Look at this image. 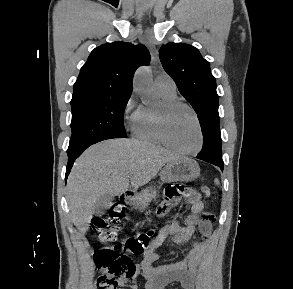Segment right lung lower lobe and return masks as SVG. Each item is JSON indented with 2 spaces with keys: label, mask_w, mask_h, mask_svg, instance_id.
Wrapping results in <instances>:
<instances>
[{
  "label": "right lung lower lobe",
  "mask_w": 293,
  "mask_h": 289,
  "mask_svg": "<svg viewBox=\"0 0 293 289\" xmlns=\"http://www.w3.org/2000/svg\"><path fill=\"white\" fill-rule=\"evenodd\" d=\"M111 138H116V137H104L98 141L95 142H90V143H85L83 145L74 147V148H68L67 150V154H68V164H67V168H66V175H65V179L67 180V176L70 173V170L73 166L74 161L76 160V158L82 153L84 152L89 146H91L92 144H95L97 142L106 140V139H111Z\"/></svg>",
  "instance_id": "98d812e1"
}]
</instances>
